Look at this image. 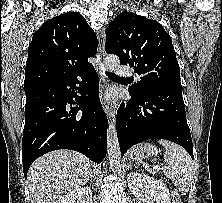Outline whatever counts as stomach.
<instances>
[{
  "instance_id": "1",
  "label": "stomach",
  "mask_w": 222,
  "mask_h": 203,
  "mask_svg": "<svg viewBox=\"0 0 222 203\" xmlns=\"http://www.w3.org/2000/svg\"><path fill=\"white\" fill-rule=\"evenodd\" d=\"M157 153H158V150L155 146L149 143H141L134 146L130 150V158L133 160L140 161L147 156L156 155Z\"/></svg>"
}]
</instances>
